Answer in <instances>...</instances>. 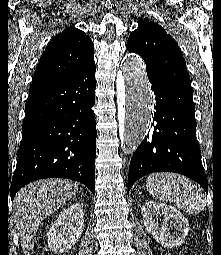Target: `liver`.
I'll return each instance as SVG.
<instances>
[{
  "mask_svg": "<svg viewBox=\"0 0 221 255\" xmlns=\"http://www.w3.org/2000/svg\"><path fill=\"white\" fill-rule=\"evenodd\" d=\"M78 192V185L67 179L51 178L32 182L15 196L13 219L25 255H31L41 222Z\"/></svg>",
  "mask_w": 221,
  "mask_h": 255,
  "instance_id": "1",
  "label": "liver"
}]
</instances>
